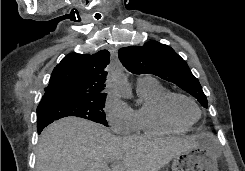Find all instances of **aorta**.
Wrapping results in <instances>:
<instances>
[{
    "mask_svg": "<svg viewBox=\"0 0 245 171\" xmlns=\"http://www.w3.org/2000/svg\"><path fill=\"white\" fill-rule=\"evenodd\" d=\"M108 81L122 97L127 99L132 98V88L120 68L112 70L109 73Z\"/></svg>",
    "mask_w": 245,
    "mask_h": 171,
    "instance_id": "1",
    "label": "aorta"
}]
</instances>
